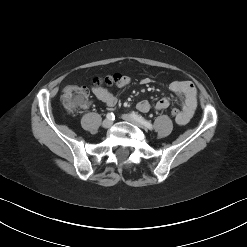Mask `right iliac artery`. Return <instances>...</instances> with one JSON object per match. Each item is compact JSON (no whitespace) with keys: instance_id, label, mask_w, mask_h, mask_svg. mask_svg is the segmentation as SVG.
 I'll return each mask as SVG.
<instances>
[{"instance_id":"82829eb1","label":"right iliac artery","mask_w":247,"mask_h":247,"mask_svg":"<svg viewBox=\"0 0 247 247\" xmlns=\"http://www.w3.org/2000/svg\"><path fill=\"white\" fill-rule=\"evenodd\" d=\"M107 118H108L109 120H114V119H115V116H114L113 113H108V114H107Z\"/></svg>"}]
</instances>
